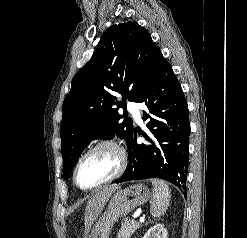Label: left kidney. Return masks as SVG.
Returning <instances> with one entry per match:
<instances>
[{
	"label": "left kidney",
	"mask_w": 247,
	"mask_h": 238,
	"mask_svg": "<svg viewBox=\"0 0 247 238\" xmlns=\"http://www.w3.org/2000/svg\"><path fill=\"white\" fill-rule=\"evenodd\" d=\"M143 238H167V230L164 228V225L157 224L151 227Z\"/></svg>",
	"instance_id": "5707ae66"
}]
</instances>
